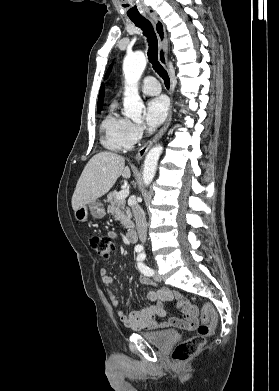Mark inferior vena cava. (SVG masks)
<instances>
[{
  "instance_id": "1",
  "label": "inferior vena cava",
  "mask_w": 279,
  "mask_h": 391,
  "mask_svg": "<svg viewBox=\"0 0 279 391\" xmlns=\"http://www.w3.org/2000/svg\"><path fill=\"white\" fill-rule=\"evenodd\" d=\"M132 212L135 218L139 239L142 243H145L147 238V223L145 212L137 203L132 206Z\"/></svg>"
}]
</instances>
